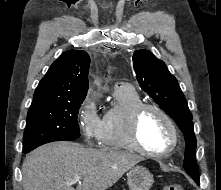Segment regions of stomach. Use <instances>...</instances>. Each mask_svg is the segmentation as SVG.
<instances>
[{
	"instance_id": "1",
	"label": "stomach",
	"mask_w": 221,
	"mask_h": 190,
	"mask_svg": "<svg viewBox=\"0 0 221 190\" xmlns=\"http://www.w3.org/2000/svg\"><path fill=\"white\" fill-rule=\"evenodd\" d=\"M153 182V175L145 167L136 166L127 173L130 190H149Z\"/></svg>"
}]
</instances>
